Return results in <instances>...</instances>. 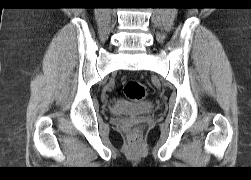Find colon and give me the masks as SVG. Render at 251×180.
<instances>
[{
    "label": "colon",
    "mask_w": 251,
    "mask_h": 180,
    "mask_svg": "<svg viewBox=\"0 0 251 180\" xmlns=\"http://www.w3.org/2000/svg\"><path fill=\"white\" fill-rule=\"evenodd\" d=\"M123 92L128 99L132 101H141L147 95V88L140 81L129 80L124 84ZM130 139L132 142H136L138 140V136L136 134H132Z\"/></svg>",
    "instance_id": "1"
}]
</instances>
